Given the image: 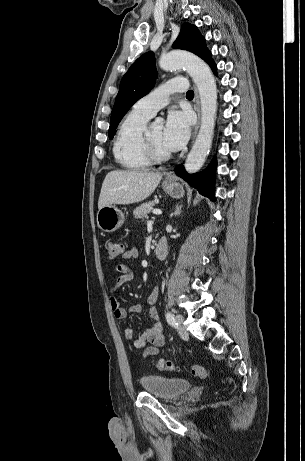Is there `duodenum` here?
Here are the masks:
<instances>
[{
  "mask_svg": "<svg viewBox=\"0 0 305 461\" xmlns=\"http://www.w3.org/2000/svg\"><path fill=\"white\" fill-rule=\"evenodd\" d=\"M168 253V244L164 239H159L155 248V255L159 260H164Z\"/></svg>",
  "mask_w": 305,
  "mask_h": 461,
  "instance_id": "obj_1",
  "label": "duodenum"
}]
</instances>
